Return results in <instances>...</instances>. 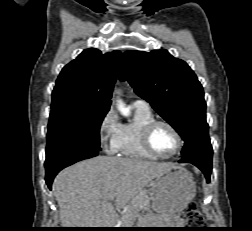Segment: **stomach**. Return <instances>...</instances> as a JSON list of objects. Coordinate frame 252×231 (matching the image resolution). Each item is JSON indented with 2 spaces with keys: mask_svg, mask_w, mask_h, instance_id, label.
Here are the masks:
<instances>
[{
  "mask_svg": "<svg viewBox=\"0 0 252 231\" xmlns=\"http://www.w3.org/2000/svg\"><path fill=\"white\" fill-rule=\"evenodd\" d=\"M151 207L158 214L184 210L196 194L191 174L182 167L156 177L149 190Z\"/></svg>",
  "mask_w": 252,
  "mask_h": 231,
  "instance_id": "0dacf381",
  "label": "stomach"
}]
</instances>
